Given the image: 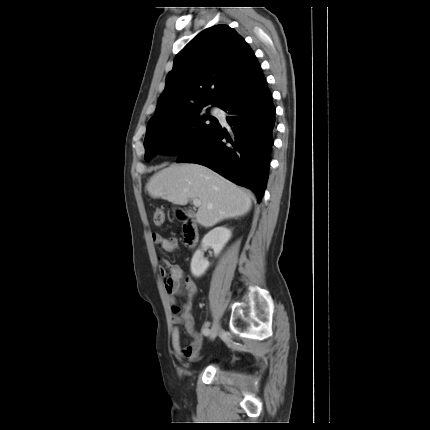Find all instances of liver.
Returning <instances> with one entry per match:
<instances>
[{"instance_id": "1", "label": "liver", "mask_w": 430, "mask_h": 430, "mask_svg": "<svg viewBox=\"0 0 430 430\" xmlns=\"http://www.w3.org/2000/svg\"><path fill=\"white\" fill-rule=\"evenodd\" d=\"M146 189L152 198H162L178 205L200 199L196 221L209 228L218 222L243 216L251 208L249 192L199 164L171 165L154 174Z\"/></svg>"}]
</instances>
